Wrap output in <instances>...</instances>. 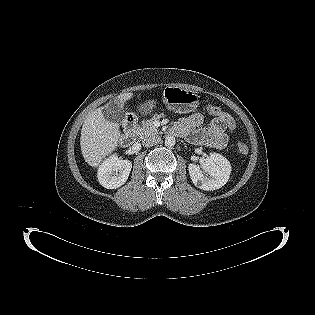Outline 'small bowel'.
I'll use <instances>...</instances> for the list:
<instances>
[{"instance_id":"obj_1","label":"small bowel","mask_w":315,"mask_h":315,"mask_svg":"<svg viewBox=\"0 0 315 315\" xmlns=\"http://www.w3.org/2000/svg\"><path fill=\"white\" fill-rule=\"evenodd\" d=\"M204 118L200 113L182 117L173 127L172 133L185 136L191 143L223 149L228 143V126L223 119L213 116L207 128H202Z\"/></svg>"}]
</instances>
